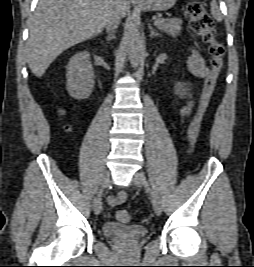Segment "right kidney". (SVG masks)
<instances>
[{
	"instance_id": "right-kidney-1",
	"label": "right kidney",
	"mask_w": 254,
	"mask_h": 267,
	"mask_svg": "<svg viewBox=\"0 0 254 267\" xmlns=\"http://www.w3.org/2000/svg\"><path fill=\"white\" fill-rule=\"evenodd\" d=\"M66 78L67 91L71 97L83 100L90 96L95 77L88 52H79L70 59Z\"/></svg>"
}]
</instances>
